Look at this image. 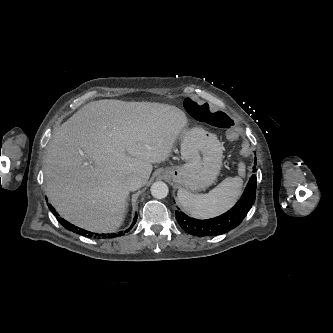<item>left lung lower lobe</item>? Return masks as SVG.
Segmentation results:
<instances>
[{
	"mask_svg": "<svg viewBox=\"0 0 333 333\" xmlns=\"http://www.w3.org/2000/svg\"><path fill=\"white\" fill-rule=\"evenodd\" d=\"M254 164L256 165V159ZM256 171L255 166L253 172ZM257 178L252 175L241 199L228 212L207 220L190 218L183 212L176 211V220L183 230L195 236H217L237 227L245 218L255 202Z\"/></svg>",
	"mask_w": 333,
	"mask_h": 333,
	"instance_id": "1",
	"label": "left lung lower lobe"
}]
</instances>
